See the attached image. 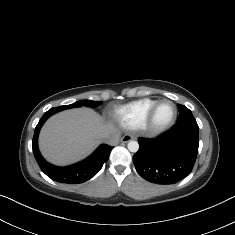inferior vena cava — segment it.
I'll use <instances>...</instances> for the list:
<instances>
[{
    "instance_id": "1",
    "label": "inferior vena cava",
    "mask_w": 235,
    "mask_h": 235,
    "mask_svg": "<svg viewBox=\"0 0 235 235\" xmlns=\"http://www.w3.org/2000/svg\"><path fill=\"white\" fill-rule=\"evenodd\" d=\"M120 133L117 130L109 131L102 135V141L111 146H116L119 142Z\"/></svg>"
}]
</instances>
